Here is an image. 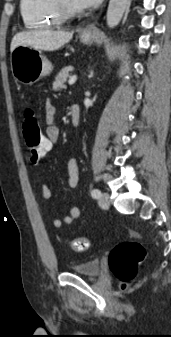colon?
<instances>
[{"mask_svg":"<svg viewBox=\"0 0 171 337\" xmlns=\"http://www.w3.org/2000/svg\"><path fill=\"white\" fill-rule=\"evenodd\" d=\"M22 133L30 162L38 163L51 150V141L41 134L38 121L32 110L26 112ZM89 245L90 241L87 237L69 240V246L74 251H85ZM145 255L144 247L135 239L121 242L111 250L109 255L110 270L124 287L136 278L138 265L143 261Z\"/></svg>","mask_w":171,"mask_h":337,"instance_id":"5ec220e1","label":"colon"}]
</instances>
